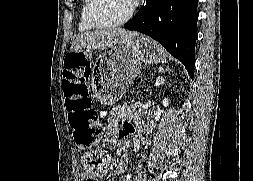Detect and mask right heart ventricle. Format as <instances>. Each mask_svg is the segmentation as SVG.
<instances>
[{
	"label": "right heart ventricle",
	"mask_w": 253,
	"mask_h": 181,
	"mask_svg": "<svg viewBox=\"0 0 253 181\" xmlns=\"http://www.w3.org/2000/svg\"><path fill=\"white\" fill-rule=\"evenodd\" d=\"M89 3V0H82L81 3V9H80V16H79V24L78 29L81 32H88L96 29V27L92 26L86 18V9L87 5Z\"/></svg>",
	"instance_id": "1"
}]
</instances>
